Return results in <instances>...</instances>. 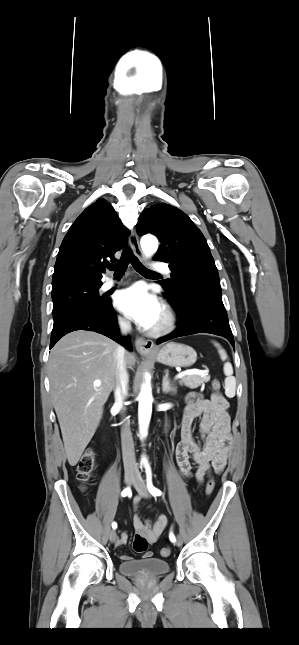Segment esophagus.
<instances>
[{
	"instance_id": "34e87169",
	"label": "esophagus",
	"mask_w": 299,
	"mask_h": 645,
	"mask_svg": "<svg viewBox=\"0 0 299 645\" xmlns=\"http://www.w3.org/2000/svg\"><path fill=\"white\" fill-rule=\"evenodd\" d=\"M129 242H130V246H131L134 254L138 258H141L142 253H141V249H140V246H139L138 236H137V234L135 232H133L131 234ZM135 346H136L137 351L140 354H143V355L150 354V353L154 352V343H153V341L146 340L141 336H136Z\"/></svg>"
}]
</instances>
